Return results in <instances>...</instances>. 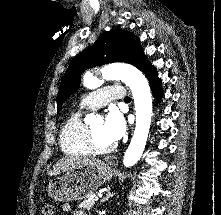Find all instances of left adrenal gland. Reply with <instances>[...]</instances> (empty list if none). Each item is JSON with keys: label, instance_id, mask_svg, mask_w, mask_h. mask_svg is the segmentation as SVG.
<instances>
[{"label": "left adrenal gland", "instance_id": "a2214340", "mask_svg": "<svg viewBox=\"0 0 221 215\" xmlns=\"http://www.w3.org/2000/svg\"><path fill=\"white\" fill-rule=\"evenodd\" d=\"M110 187L107 188L106 196L101 200V202L108 201L109 198L113 197L115 193L110 192Z\"/></svg>", "mask_w": 221, "mask_h": 215}]
</instances>
